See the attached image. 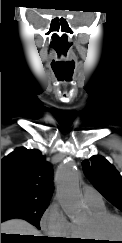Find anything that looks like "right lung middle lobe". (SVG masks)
Wrapping results in <instances>:
<instances>
[{
    "label": "right lung middle lobe",
    "mask_w": 122,
    "mask_h": 243,
    "mask_svg": "<svg viewBox=\"0 0 122 243\" xmlns=\"http://www.w3.org/2000/svg\"><path fill=\"white\" fill-rule=\"evenodd\" d=\"M49 204V200L19 195L1 196V214L27 217L40 229V219Z\"/></svg>",
    "instance_id": "dd1d6c3e"
}]
</instances>
